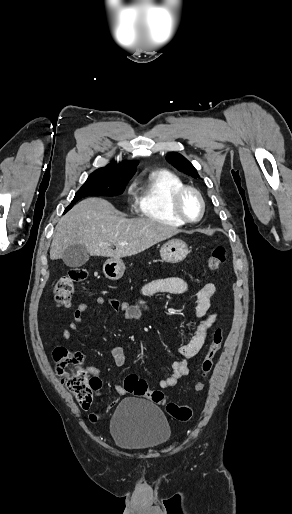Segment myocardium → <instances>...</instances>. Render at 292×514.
Segmentation results:
<instances>
[{
	"instance_id": "f54148a6",
	"label": "myocardium",
	"mask_w": 292,
	"mask_h": 514,
	"mask_svg": "<svg viewBox=\"0 0 292 514\" xmlns=\"http://www.w3.org/2000/svg\"><path fill=\"white\" fill-rule=\"evenodd\" d=\"M187 192H190L193 195H195V197L197 198L198 203H199V215L195 219H190L189 217H187L180 208V199L183 196V194H185ZM168 202H169L170 212L173 214V216H175L177 219H179L180 221H182L184 223H196V222L200 221L204 216V212H205L204 199H203V196L200 193V191L198 189H196L195 187L188 186V185H182L181 187L174 189L169 195Z\"/></svg>"
}]
</instances>
